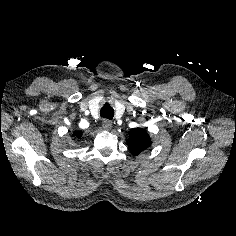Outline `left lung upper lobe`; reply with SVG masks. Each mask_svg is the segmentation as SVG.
Segmentation results:
<instances>
[{
    "instance_id": "obj_1",
    "label": "left lung upper lobe",
    "mask_w": 236,
    "mask_h": 236,
    "mask_svg": "<svg viewBox=\"0 0 236 236\" xmlns=\"http://www.w3.org/2000/svg\"><path fill=\"white\" fill-rule=\"evenodd\" d=\"M127 144L130 152L134 155H138L150 146L151 140L149 135L143 129L135 128L129 132Z\"/></svg>"
}]
</instances>
